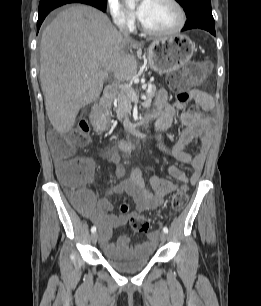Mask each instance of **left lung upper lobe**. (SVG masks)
Segmentation results:
<instances>
[{
    "instance_id": "obj_1",
    "label": "left lung upper lobe",
    "mask_w": 261,
    "mask_h": 306,
    "mask_svg": "<svg viewBox=\"0 0 261 306\" xmlns=\"http://www.w3.org/2000/svg\"><path fill=\"white\" fill-rule=\"evenodd\" d=\"M184 9L187 18L203 16L214 19L210 0H176Z\"/></svg>"
}]
</instances>
